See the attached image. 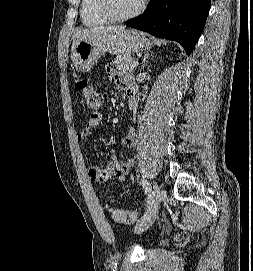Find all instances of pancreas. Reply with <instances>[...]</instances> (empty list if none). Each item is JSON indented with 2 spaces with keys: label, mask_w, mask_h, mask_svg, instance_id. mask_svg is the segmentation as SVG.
Segmentation results:
<instances>
[{
  "label": "pancreas",
  "mask_w": 253,
  "mask_h": 271,
  "mask_svg": "<svg viewBox=\"0 0 253 271\" xmlns=\"http://www.w3.org/2000/svg\"><path fill=\"white\" fill-rule=\"evenodd\" d=\"M136 61V58L130 54H122L118 55L115 60L113 61V65L116 67V69L122 70V71H132L133 67H131V64Z\"/></svg>",
  "instance_id": "obj_1"
}]
</instances>
